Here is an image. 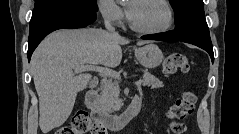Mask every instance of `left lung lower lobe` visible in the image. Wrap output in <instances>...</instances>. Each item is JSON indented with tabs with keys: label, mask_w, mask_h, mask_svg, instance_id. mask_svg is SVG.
<instances>
[{
	"label": "left lung lower lobe",
	"mask_w": 239,
	"mask_h": 134,
	"mask_svg": "<svg viewBox=\"0 0 239 134\" xmlns=\"http://www.w3.org/2000/svg\"><path fill=\"white\" fill-rule=\"evenodd\" d=\"M142 39L163 40V41H182L196 45L207 51L214 61L213 47L210 39L207 24H189L174 31L145 35Z\"/></svg>",
	"instance_id": "1"
}]
</instances>
